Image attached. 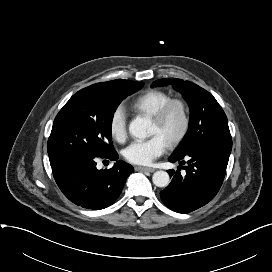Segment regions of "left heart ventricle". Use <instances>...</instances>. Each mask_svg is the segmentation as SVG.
I'll list each match as a JSON object with an SVG mask.
<instances>
[{
    "instance_id": "left-heart-ventricle-1",
    "label": "left heart ventricle",
    "mask_w": 272,
    "mask_h": 272,
    "mask_svg": "<svg viewBox=\"0 0 272 272\" xmlns=\"http://www.w3.org/2000/svg\"><path fill=\"white\" fill-rule=\"evenodd\" d=\"M182 124L178 108H173L160 124L151 121L150 134H159L167 143L179 132Z\"/></svg>"
}]
</instances>
